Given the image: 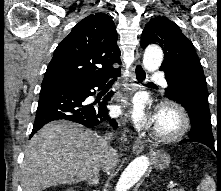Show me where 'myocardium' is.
Returning a JSON list of instances; mask_svg holds the SVG:
<instances>
[{
  "label": "myocardium",
  "mask_w": 221,
  "mask_h": 191,
  "mask_svg": "<svg viewBox=\"0 0 221 191\" xmlns=\"http://www.w3.org/2000/svg\"><path fill=\"white\" fill-rule=\"evenodd\" d=\"M168 114L174 119V126L170 130H161L155 126L153 137L161 142H174L179 140L188 131L190 119L186 110L174 101H165L159 107V115Z\"/></svg>",
  "instance_id": "myocardium-1"
}]
</instances>
